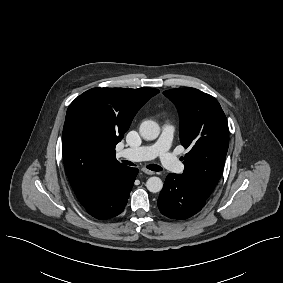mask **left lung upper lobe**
<instances>
[{
    "instance_id": "obj_1",
    "label": "left lung upper lobe",
    "mask_w": 283,
    "mask_h": 283,
    "mask_svg": "<svg viewBox=\"0 0 283 283\" xmlns=\"http://www.w3.org/2000/svg\"><path fill=\"white\" fill-rule=\"evenodd\" d=\"M180 115V141L189 152L181 174L202 196L208 198L221 176L229 146L226 116L211 95L195 88L164 91Z\"/></svg>"
}]
</instances>
